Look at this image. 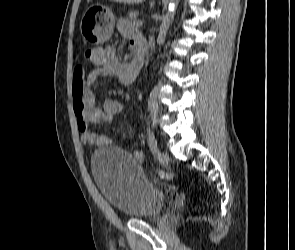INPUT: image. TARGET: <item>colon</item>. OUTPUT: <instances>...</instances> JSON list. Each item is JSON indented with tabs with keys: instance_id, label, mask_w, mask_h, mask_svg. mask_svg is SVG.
<instances>
[{
	"instance_id": "1",
	"label": "colon",
	"mask_w": 295,
	"mask_h": 250,
	"mask_svg": "<svg viewBox=\"0 0 295 250\" xmlns=\"http://www.w3.org/2000/svg\"><path fill=\"white\" fill-rule=\"evenodd\" d=\"M92 58V50H86L83 54V59L89 61Z\"/></svg>"
}]
</instances>
